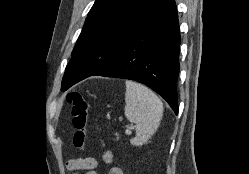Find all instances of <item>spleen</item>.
Here are the masks:
<instances>
[{
    "instance_id": "spleen-1",
    "label": "spleen",
    "mask_w": 249,
    "mask_h": 174,
    "mask_svg": "<svg viewBox=\"0 0 249 174\" xmlns=\"http://www.w3.org/2000/svg\"><path fill=\"white\" fill-rule=\"evenodd\" d=\"M125 116L136 125V137L130 140L134 146H141L158 129L162 116L163 104L150 89L139 83L126 82Z\"/></svg>"
}]
</instances>
